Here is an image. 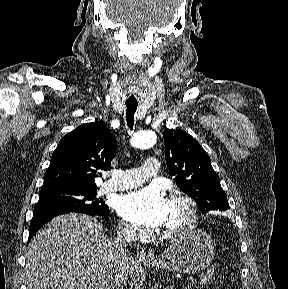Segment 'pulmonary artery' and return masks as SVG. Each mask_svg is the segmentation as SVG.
Returning <instances> with one entry per match:
<instances>
[{
  "instance_id": "1",
  "label": "pulmonary artery",
  "mask_w": 288,
  "mask_h": 289,
  "mask_svg": "<svg viewBox=\"0 0 288 289\" xmlns=\"http://www.w3.org/2000/svg\"><path fill=\"white\" fill-rule=\"evenodd\" d=\"M158 170V160L151 156L144 161L142 167L113 171L111 178L102 184L101 189L112 192L134 188L156 175Z\"/></svg>"
}]
</instances>
